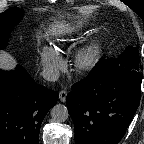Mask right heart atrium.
<instances>
[{
	"mask_svg": "<svg viewBox=\"0 0 144 144\" xmlns=\"http://www.w3.org/2000/svg\"><path fill=\"white\" fill-rule=\"evenodd\" d=\"M40 57L44 68L48 72H54L62 66V61L57 52L49 47H43L40 51Z\"/></svg>",
	"mask_w": 144,
	"mask_h": 144,
	"instance_id": "obj_1",
	"label": "right heart atrium"
}]
</instances>
